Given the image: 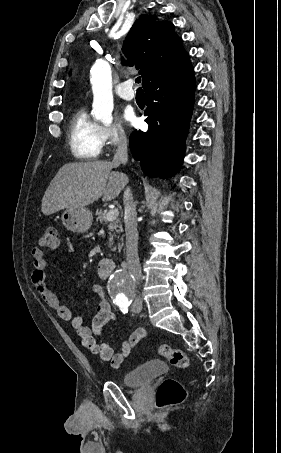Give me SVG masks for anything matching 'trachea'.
<instances>
[{"instance_id": "trachea-1", "label": "trachea", "mask_w": 281, "mask_h": 453, "mask_svg": "<svg viewBox=\"0 0 281 453\" xmlns=\"http://www.w3.org/2000/svg\"><path fill=\"white\" fill-rule=\"evenodd\" d=\"M140 82H141V77H137L135 79V83H140ZM143 95H144L143 90L141 88H138L136 97H142Z\"/></svg>"}]
</instances>
